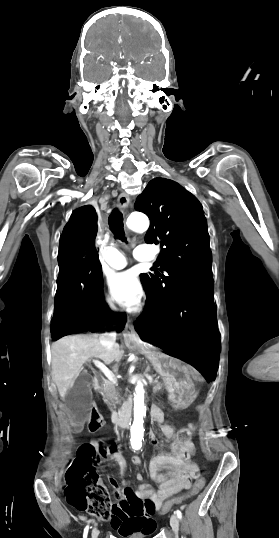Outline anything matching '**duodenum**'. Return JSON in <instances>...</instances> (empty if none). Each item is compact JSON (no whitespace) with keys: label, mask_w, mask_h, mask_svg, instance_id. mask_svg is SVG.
<instances>
[{"label":"duodenum","mask_w":279,"mask_h":538,"mask_svg":"<svg viewBox=\"0 0 279 538\" xmlns=\"http://www.w3.org/2000/svg\"><path fill=\"white\" fill-rule=\"evenodd\" d=\"M92 383L96 388H99L101 384L103 383V376L101 374L95 373L92 376ZM127 403H124L122 405V408L118 412H114L112 414V418L110 419V422L113 424V427H117L118 429H121L122 427L124 429H130L132 427V424L130 423V417L133 413V406L135 405V402L131 397H128L126 399ZM161 406L159 404H156L154 408L151 410V413L153 415H159L161 413Z\"/></svg>","instance_id":"1"}]
</instances>
